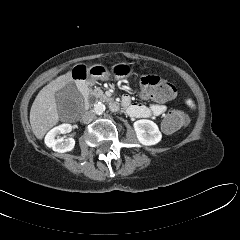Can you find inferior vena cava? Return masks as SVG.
<instances>
[{"label": "inferior vena cava", "instance_id": "602c4592", "mask_svg": "<svg viewBox=\"0 0 240 240\" xmlns=\"http://www.w3.org/2000/svg\"><path fill=\"white\" fill-rule=\"evenodd\" d=\"M94 117H95V114H94V112L92 110L87 111L82 116V122L84 124H88V123H90L94 119Z\"/></svg>", "mask_w": 240, "mask_h": 240}]
</instances>
